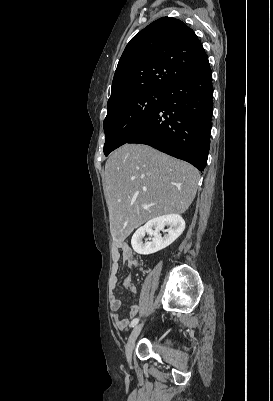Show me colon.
<instances>
[{"label": "colon", "instance_id": "1", "mask_svg": "<svg viewBox=\"0 0 273 401\" xmlns=\"http://www.w3.org/2000/svg\"><path fill=\"white\" fill-rule=\"evenodd\" d=\"M124 290H125V292H127V293H131V292H133L134 287H133V285H131V284H127V285H125Z\"/></svg>", "mask_w": 273, "mask_h": 401}]
</instances>
